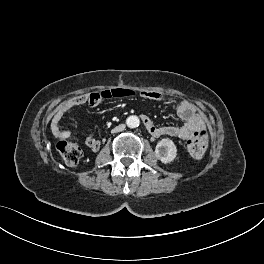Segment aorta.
<instances>
[{
    "mask_svg": "<svg viewBox=\"0 0 264 264\" xmlns=\"http://www.w3.org/2000/svg\"><path fill=\"white\" fill-rule=\"evenodd\" d=\"M126 124L129 128H136L140 124V120L137 116L132 115L126 119Z\"/></svg>",
    "mask_w": 264,
    "mask_h": 264,
    "instance_id": "1",
    "label": "aorta"
}]
</instances>
